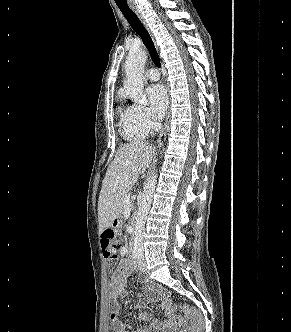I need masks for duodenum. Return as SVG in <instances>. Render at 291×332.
Here are the masks:
<instances>
[{
    "mask_svg": "<svg viewBox=\"0 0 291 332\" xmlns=\"http://www.w3.org/2000/svg\"><path fill=\"white\" fill-rule=\"evenodd\" d=\"M134 226H135V223L133 222L132 223V228H134ZM129 255L133 256V248L132 247L129 249Z\"/></svg>",
    "mask_w": 291,
    "mask_h": 332,
    "instance_id": "obj_1",
    "label": "duodenum"
}]
</instances>
